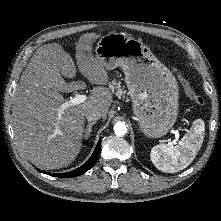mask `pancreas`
<instances>
[{"mask_svg": "<svg viewBox=\"0 0 221 221\" xmlns=\"http://www.w3.org/2000/svg\"><path fill=\"white\" fill-rule=\"evenodd\" d=\"M109 88L111 89V91L113 93H115L117 96H121L124 95L126 93V91L124 90V88L121 86L120 82H117L116 80H113L110 85Z\"/></svg>", "mask_w": 221, "mask_h": 221, "instance_id": "1", "label": "pancreas"}]
</instances>
